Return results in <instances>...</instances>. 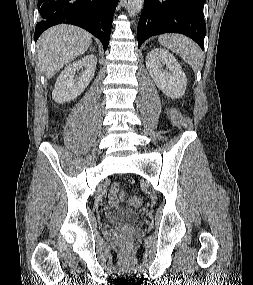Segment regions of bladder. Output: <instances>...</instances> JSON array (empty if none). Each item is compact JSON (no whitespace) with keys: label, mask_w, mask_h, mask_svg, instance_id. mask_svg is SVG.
Returning a JSON list of instances; mask_svg holds the SVG:
<instances>
[{"label":"bladder","mask_w":253,"mask_h":285,"mask_svg":"<svg viewBox=\"0 0 253 285\" xmlns=\"http://www.w3.org/2000/svg\"><path fill=\"white\" fill-rule=\"evenodd\" d=\"M108 221L114 225H129L139 221L140 214L138 211L128 208L119 207L112 210L108 216Z\"/></svg>","instance_id":"bladder-1"}]
</instances>
